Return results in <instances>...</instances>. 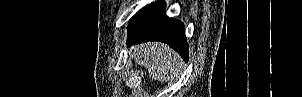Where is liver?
<instances>
[{
    "label": "liver",
    "mask_w": 302,
    "mask_h": 97,
    "mask_svg": "<svg viewBox=\"0 0 302 97\" xmlns=\"http://www.w3.org/2000/svg\"><path fill=\"white\" fill-rule=\"evenodd\" d=\"M135 63L147 69L149 77L160 82L177 75L182 62L169 46L159 42H147L132 49Z\"/></svg>",
    "instance_id": "1"
}]
</instances>
